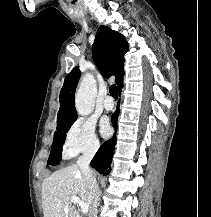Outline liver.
I'll return each mask as SVG.
<instances>
[{
    "label": "liver",
    "mask_w": 211,
    "mask_h": 217,
    "mask_svg": "<svg viewBox=\"0 0 211 217\" xmlns=\"http://www.w3.org/2000/svg\"><path fill=\"white\" fill-rule=\"evenodd\" d=\"M95 175V173H94ZM72 196L91 206L85 175L73 164L55 171L42 184V208L44 217H80L75 205L69 202ZM68 204V210L65 206Z\"/></svg>",
    "instance_id": "obj_1"
}]
</instances>
